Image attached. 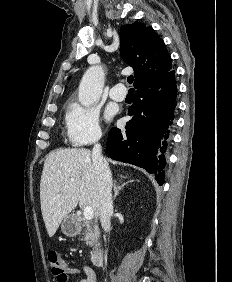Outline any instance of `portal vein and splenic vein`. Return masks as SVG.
I'll return each mask as SVG.
<instances>
[{"mask_svg":"<svg viewBox=\"0 0 232 282\" xmlns=\"http://www.w3.org/2000/svg\"><path fill=\"white\" fill-rule=\"evenodd\" d=\"M83 214H84V218L89 221V220H91L93 218L94 211H93L92 207L86 206L84 208Z\"/></svg>","mask_w":232,"mask_h":282,"instance_id":"1","label":"portal vein and splenic vein"}]
</instances>
